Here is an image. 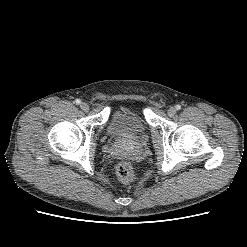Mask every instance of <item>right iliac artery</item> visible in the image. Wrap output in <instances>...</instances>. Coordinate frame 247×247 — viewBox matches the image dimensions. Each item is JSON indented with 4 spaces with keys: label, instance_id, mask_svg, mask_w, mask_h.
<instances>
[{
    "label": "right iliac artery",
    "instance_id": "82829eb1",
    "mask_svg": "<svg viewBox=\"0 0 247 247\" xmlns=\"http://www.w3.org/2000/svg\"><path fill=\"white\" fill-rule=\"evenodd\" d=\"M80 102H81V101H80L79 99H76V100H75V103H76L77 105L80 104Z\"/></svg>",
    "mask_w": 247,
    "mask_h": 247
}]
</instances>
